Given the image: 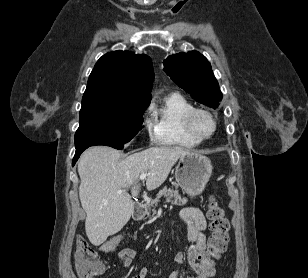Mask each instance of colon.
Here are the masks:
<instances>
[{
  "instance_id": "obj_1",
  "label": "colon",
  "mask_w": 308,
  "mask_h": 278,
  "mask_svg": "<svg viewBox=\"0 0 308 278\" xmlns=\"http://www.w3.org/2000/svg\"><path fill=\"white\" fill-rule=\"evenodd\" d=\"M207 216L210 220L211 237L208 241L207 256L209 259L218 258L225 252L229 240L230 224L214 197H210L207 206ZM124 237L111 235L100 245L101 253H117ZM75 267L79 278H97L104 271V264L99 259L97 252L83 236L76 239Z\"/></svg>"
}]
</instances>
